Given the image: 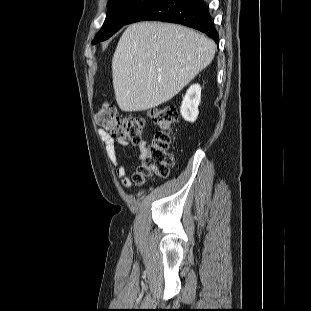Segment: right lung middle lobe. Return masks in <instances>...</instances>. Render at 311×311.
<instances>
[{
    "mask_svg": "<svg viewBox=\"0 0 311 311\" xmlns=\"http://www.w3.org/2000/svg\"><path fill=\"white\" fill-rule=\"evenodd\" d=\"M154 0H109L105 22L95 36L92 44L99 43L111 37L142 8Z\"/></svg>",
    "mask_w": 311,
    "mask_h": 311,
    "instance_id": "obj_1",
    "label": "right lung middle lobe"
}]
</instances>
